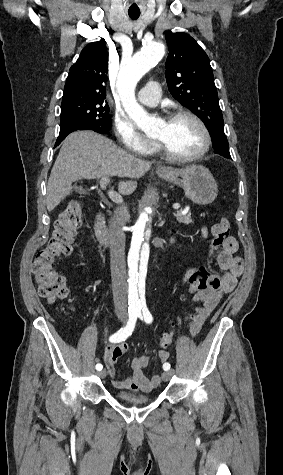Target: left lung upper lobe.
<instances>
[{
    "label": "left lung upper lobe",
    "instance_id": "obj_1",
    "mask_svg": "<svg viewBox=\"0 0 283 475\" xmlns=\"http://www.w3.org/2000/svg\"><path fill=\"white\" fill-rule=\"evenodd\" d=\"M169 55L165 76L169 91L182 105L195 113L210 135H225L210 60L188 34L167 33Z\"/></svg>",
    "mask_w": 283,
    "mask_h": 475
}]
</instances>
